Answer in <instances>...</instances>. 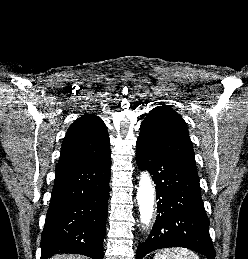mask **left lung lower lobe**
Wrapping results in <instances>:
<instances>
[{
  "label": "left lung lower lobe",
  "instance_id": "left-lung-lower-lobe-1",
  "mask_svg": "<svg viewBox=\"0 0 248 259\" xmlns=\"http://www.w3.org/2000/svg\"><path fill=\"white\" fill-rule=\"evenodd\" d=\"M136 161L153 175L158 199L157 219L149 239L138 246L136 259L169 247L189 248L215 259L199 178L138 140Z\"/></svg>",
  "mask_w": 248,
  "mask_h": 259
}]
</instances>
